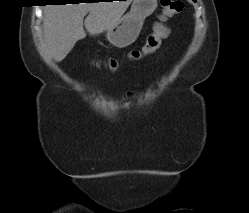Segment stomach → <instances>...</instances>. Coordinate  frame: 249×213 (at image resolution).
I'll list each match as a JSON object with an SVG mask.
<instances>
[{
    "label": "stomach",
    "mask_w": 249,
    "mask_h": 213,
    "mask_svg": "<svg viewBox=\"0 0 249 213\" xmlns=\"http://www.w3.org/2000/svg\"><path fill=\"white\" fill-rule=\"evenodd\" d=\"M157 0H133L130 11L107 29L108 41L119 48L132 44L138 37L146 17L157 8Z\"/></svg>",
    "instance_id": "stomach-1"
}]
</instances>
